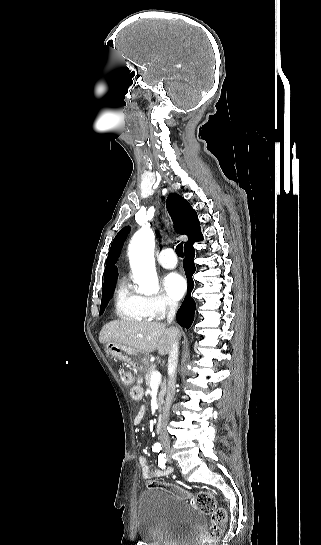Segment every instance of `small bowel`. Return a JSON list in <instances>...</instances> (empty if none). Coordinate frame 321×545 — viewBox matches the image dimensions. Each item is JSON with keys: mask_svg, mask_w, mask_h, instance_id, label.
I'll return each instance as SVG.
<instances>
[{"mask_svg": "<svg viewBox=\"0 0 321 545\" xmlns=\"http://www.w3.org/2000/svg\"><path fill=\"white\" fill-rule=\"evenodd\" d=\"M131 397L133 400L135 401H139L142 396H143V390L141 387L139 386H135L131 389ZM145 413H146V408L145 406H140L135 417H134V424L135 425H139L144 416H145ZM139 464L141 466V469H142V474H143V477L146 479V480H153V479H157V478H161V477H164L168 474L171 473V468L170 467H167V468H159V469H156V470H153L151 469V467L149 466L148 464V460H147V457L144 455V454H141L139 456Z\"/></svg>", "mask_w": 321, "mask_h": 545, "instance_id": "small-bowel-1", "label": "small bowel"}]
</instances>
